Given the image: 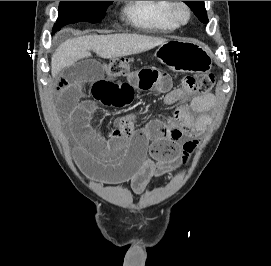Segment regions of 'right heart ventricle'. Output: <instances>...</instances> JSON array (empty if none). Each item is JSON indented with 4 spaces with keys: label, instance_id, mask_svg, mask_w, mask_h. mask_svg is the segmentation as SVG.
Instances as JSON below:
<instances>
[{
    "label": "right heart ventricle",
    "instance_id": "e07e8e85",
    "mask_svg": "<svg viewBox=\"0 0 271 266\" xmlns=\"http://www.w3.org/2000/svg\"><path fill=\"white\" fill-rule=\"evenodd\" d=\"M169 6L170 1H129L124 13L138 28L173 31L178 25L169 14Z\"/></svg>",
    "mask_w": 271,
    "mask_h": 266
}]
</instances>
